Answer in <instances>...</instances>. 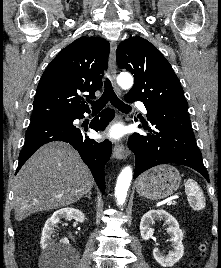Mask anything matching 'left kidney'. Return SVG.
<instances>
[{
	"label": "left kidney",
	"instance_id": "obj_1",
	"mask_svg": "<svg viewBox=\"0 0 221 268\" xmlns=\"http://www.w3.org/2000/svg\"><path fill=\"white\" fill-rule=\"evenodd\" d=\"M164 220L168 225L167 232L170 234V242L172 250L165 255L158 248L153 249L155 260L163 267H172L178 262L184 254V246L182 244L183 232L179 228L177 220L164 210H150L145 213L140 222V233L143 240H149L153 235V225L155 220Z\"/></svg>",
	"mask_w": 221,
	"mask_h": 268
}]
</instances>
